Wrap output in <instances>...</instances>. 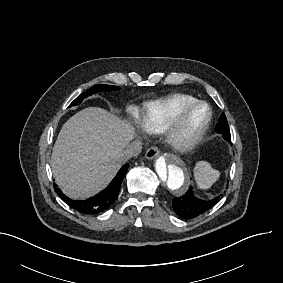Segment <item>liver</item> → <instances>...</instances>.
Here are the masks:
<instances>
[{
	"label": "liver",
	"mask_w": 283,
	"mask_h": 283,
	"mask_svg": "<svg viewBox=\"0 0 283 283\" xmlns=\"http://www.w3.org/2000/svg\"><path fill=\"white\" fill-rule=\"evenodd\" d=\"M136 136L127 120L102 108L89 107L69 118L60 130L51 155L57 185L72 199H86L115 177L120 155Z\"/></svg>",
	"instance_id": "liver-1"
}]
</instances>
